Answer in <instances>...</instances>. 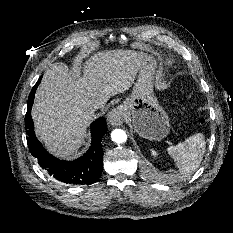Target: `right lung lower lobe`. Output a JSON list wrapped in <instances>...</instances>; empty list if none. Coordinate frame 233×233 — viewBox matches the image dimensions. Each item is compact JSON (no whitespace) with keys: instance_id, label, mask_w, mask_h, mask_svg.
<instances>
[{"instance_id":"98d812e1","label":"right lung lower lobe","mask_w":233,"mask_h":233,"mask_svg":"<svg viewBox=\"0 0 233 233\" xmlns=\"http://www.w3.org/2000/svg\"><path fill=\"white\" fill-rule=\"evenodd\" d=\"M41 78L42 76L30 92L27 113L25 115V128L28 135L27 144L29 151L38 160L39 165L53 178L66 184L91 185L99 179L102 172L103 150L101 139L107 130L106 120L104 117H100L91 124L92 143L89 150L83 156L74 161H61L53 157L37 140L31 117L34 95L41 82Z\"/></svg>"}]
</instances>
